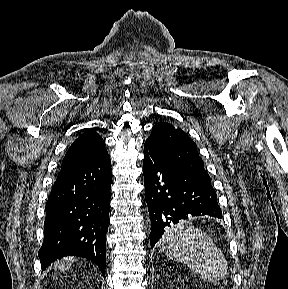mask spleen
Segmentation results:
<instances>
[{
    "label": "spleen",
    "instance_id": "3e777b00",
    "mask_svg": "<svg viewBox=\"0 0 288 289\" xmlns=\"http://www.w3.org/2000/svg\"><path fill=\"white\" fill-rule=\"evenodd\" d=\"M162 250L172 260L187 265L204 281L218 282L227 274L223 252L191 222L181 221L167 228L162 236Z\"/></svg>",
    "mask_w": 288,
    "mask_h": 289
}]
</instances>
